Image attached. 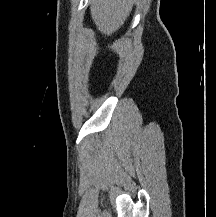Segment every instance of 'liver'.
Instances as JSON below:
<instances>
[{"label": "liver", "instance_id": "6515ba94", "mask_svg": "<svg viewBox=\"0 0 216 217\" xmlns=\"http://www.w3.org/2000/svg\"><path fill=\"white\" fill-rule=\"evenodd\" d=\"M133 0H91V16L104 35L116 32L132 11Z\"/></svg>", "mask_w": 216, "mask_h": 217}]
</instances>
